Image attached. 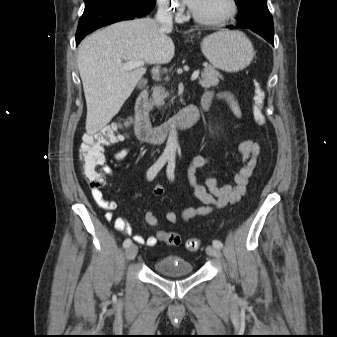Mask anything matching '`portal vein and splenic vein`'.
Instances as JSON below:
<instances>
[{
  "label": "portal vein and splenic vein",
  "instance_id": "obj_1",
  "mask_svg": "<svg viewBox=\"0 0 337 337\" xmlns=\"http://www.w3.org/2000/svg\"><path fill=\"white\" fill-rule=\"evenodd\" d=\"M144 65L143 61H129L124 63L123 67L127 70H132L138 67H141ZM199 77V71H195L193 72L192 76H191V80L194 81Z\"/></svg>",
  "mask_w": 337,
  "mask_h": 337
}]
</instances>
